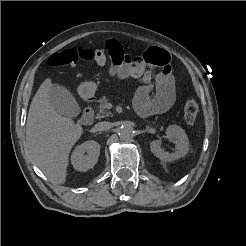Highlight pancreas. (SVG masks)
I'll list each match as a JSON object with an SVG mask.
<instances>
[{
    "instance_id": "cf45deb5",
    "label": "pancreas",
    "mask_w": 246,
    "mask_h": 246,
    "mask_svg": "<svg viewBox=\"0 0 246 246\" xmlns=\"http://www.w3.org/2000/svg\"><path fill=\"white\" fill-rule=\"evenodd\" d=\"M99 112L97 113V118H104V117H108L111 115L110 110L107 109V104H108V99H106L105 97L101 98L99 100Z\"/></svg>"
}]
</instances>
